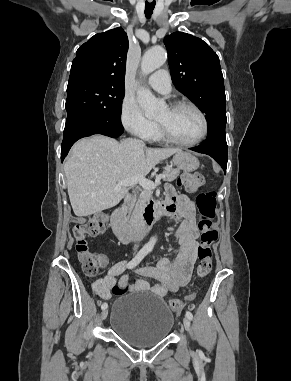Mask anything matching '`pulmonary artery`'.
I'll use <instances>...</instances> for the list:
<instances>
[{
    "label": "pulmonary artery",
    "mask_w": 291,
    "mask_h": 381,
    "mask_svg": "<svg viewBox=\"0 0 291 381\" xmlns=\"http://www.w3.org/2000/svg\"><path fill=\"white\" fill-rule=\"evenodd\" d=\"M148 84L157 92L162 94H169L171 91V80L167 70L161 69L148 78Z\"/></svg>",
    "instance_id": "pulmonary-artery-1"
}]
</instances>
